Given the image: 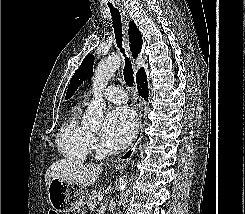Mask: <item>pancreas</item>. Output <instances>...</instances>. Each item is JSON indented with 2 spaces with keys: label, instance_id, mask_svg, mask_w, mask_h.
<instances>
[{
  "label": "pancreas",
  "instance_id": "pancreas-1",
  "mask_svg": "<svg viewBox=\"0 0 245 214\" xmlns=\"http://www.w3.org/2000/svg\"><path fill=\"white\" fill-rule=\"evenodd\" d=\"M101 194V191H96V190H93L91 192V194L89 195V199H88V202H87V205L90 209H94L95 206H96V202H97V198H98V195Z\"/></svg>",
  "mask_w": 245,
  "mask_h": 214
}]
</instances>
